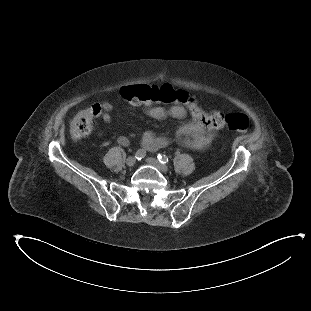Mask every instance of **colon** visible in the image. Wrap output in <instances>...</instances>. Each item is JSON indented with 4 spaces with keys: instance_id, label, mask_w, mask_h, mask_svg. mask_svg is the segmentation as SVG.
Wrapping results in <instances>:
<instances>
[{
    "instance_id": "1",
    "label": "colon",
    "mask_w": 311,
    "mask_h": 311,
    "mask_svg": "<svg viewBox=\"0 0 311 311\" xmlns=\"http://www.w3.org/2000/svg\"><path fill=\"white\" fill-rule=\"evenodd\" d=\"M121 94L127 100H138L132 104L140 103L141 101L147 103H165V104H185L188 110L196 117V119L203 123L206 127L212 129H221L224 126V113L218 114L217 118L213 115H207L203 109L198 105L185 91H179L172 87L159 88L148 83L140 86L127 85L123 87ZM102 113V108L99 105H90L74 117L70 125V134L74 140L82 139L88 136L93 129V121ZM218 121L219 125L215 126L214 122ZM249 126L248 117L236 111H230L229 128L237 131H244Z\"/></svg>"
}]
</instances>
